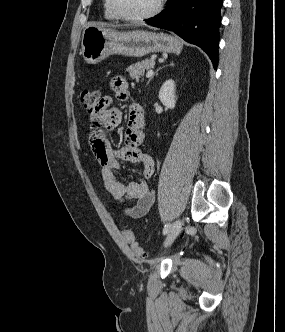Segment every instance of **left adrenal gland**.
Instances as JSON below:
<instances>
[{
    "instance_id": "a2214340",
    "label": "left adrenal gland",
    "mask_w": 285,
    "mask_h": 332,
    "mask_svg": "<svg viewBox=\"0 0 285 332\" xmlns=\"http://www.w3.org/2000/svg\"><path fill=\"white\" fill-rule=\"evenodd\" d=\"M170 65H173V62H171ZM159 69H161V68H159ZM159 69L156 71L155 74H157V72L159 71ZM152 78H153V77H151V78L149 79L148 83L151 81Z\"/></svg>"
}]
</instances>
